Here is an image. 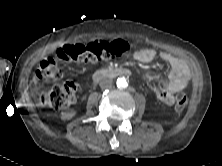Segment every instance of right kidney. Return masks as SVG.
<instances>
[{"label":"right kidney","mask_w":222,"mask_h":166,"mask_svg":"<svg viewBox=\"0 0 222 166\" xmlns=\"http://www.w3.org/2000/svg\"><path fill=\"white\" fill-rule=\"evenodd\" d=\"M76 115V111H71V112H64L61 114V117L64 118V119H69V118H72Z\"/></svg>","instance_id":"obj_1"}]
</instances>
